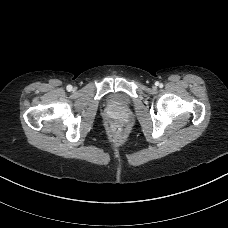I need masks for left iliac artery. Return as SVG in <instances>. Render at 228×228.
<instances>
[{
    "label": "left iliac artery",
    "instance_id": "left-iliac-artery-1",
    "mask_svg": "<svg viewBox=\"0 0 228 228\" xmlns=\"http://www.w3.org/2000/svg\"><path fill=\"white\" fill-rule=\"evenodd\" d=\"M157 85H159L160 87H162V86H163L161 83H157Z\"/></svg>",
    "mask_w": 228,
    "mask_h": 228
}]
</instances>
